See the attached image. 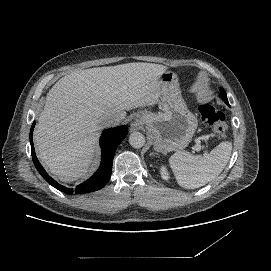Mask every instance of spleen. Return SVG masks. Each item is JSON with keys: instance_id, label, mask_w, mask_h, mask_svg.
I'll return each instance as SVG.
<instances>
[{"instance_id": "1", "label": "spleen", "mask_w": 271, "mask_h": 271, "mask_svg": "<svg viewBox=\"0 0 271 271\" xmlns=\"http://www.w3.org/2000/svg\"><path fill=\"white\" fill-rule=\"evenodd\" d=\"M231 151L232 143L222 141L209 154L194 156L179 151L169 157L168 163L180 187L195 189L204 186L223 171Z\"/></svg>"}]
</instances>
